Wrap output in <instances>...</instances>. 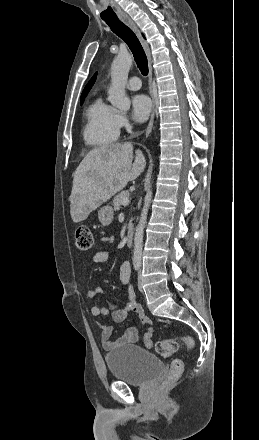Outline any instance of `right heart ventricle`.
<instances>
[{"instance_id":"right-heart-ventricle-1","label":"right heart ventricle","mask_w":259,"mask_h":440,"mask_svg":"<svg viewBox=\"0 0 259 440\" xmlns=\"http://www.w3.org/2000/svg\"><path fill=\"white\" fill-rule=\"evenodd\" d=\"M116 110L101 98H96L86 109L83 139L93 148L107 147L118 140Z\"/></svg>"}]
</instances>
